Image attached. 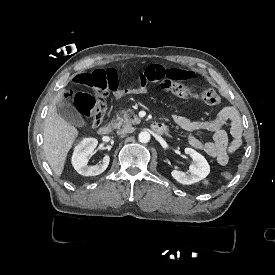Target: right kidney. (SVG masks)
<instances>
[{"mask_svg":"<svg viewBox=\"0 0 275 275\" xmlns=\"http://www.w3.org/2000/svg\"><path fill=\"white\" fill-rule=\"evenodd\" d=\"M98 145V141L93 138L82 139L75 147L74 154L72 156V164L75 170L84 176H97L103 173L109 165L110 156L105 155L103 163L98 166L88 167V158L95 153V149Z\"/></svg>","mask_w":275,"mask_h":275,"instance_id":"obj_1","label":"right kidney"}]
</instances>
